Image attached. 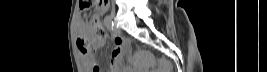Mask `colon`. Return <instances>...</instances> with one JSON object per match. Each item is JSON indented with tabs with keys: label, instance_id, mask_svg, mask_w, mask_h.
Here are the masks:
<instances>
[{
	"label": "colon",
	"instance_id": "5ec220e1",
	"mask_svg": "<svg viewBox=\"0 0 267 72\" xmlns=\"http://www.w3.org/2000/svg\"><path fill=\"white\" fill-rule=\"evenodd\" d=\"M107 0H81V11L89 15L88 26L90 27L92 33L97 40H103L106 36L104 29L100 26L99 23V11L100 5L107 3ZM79 48L82 52H89L92 49V45L89 40L82 38L79 40ZM95 70H98V67L95 66ZM171 67L168 62H163L160 66V72H170Z\"/></svg>",
	"mask_w": 267,
	"mask_h": 72
}]
</instances>
